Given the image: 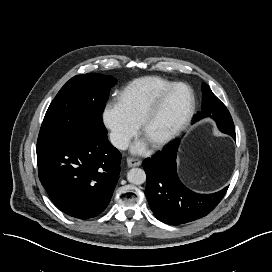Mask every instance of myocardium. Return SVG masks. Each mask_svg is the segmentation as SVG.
Listing matches in <instances>:
<instances>
[{
  "label": "myocardium",
  "mask_w": 272,
  "mask_h": 272,
  "mask_svg": "<svg viewBox=\"0 0 272 272\" xmlns=\"http://www.w3.org/2000/svg\"><path fill=\"white\" fill-rule=\"evenodd\" d=\"M184 89L187 91L188 94V105L186 108V111L182 117V119L179 121V123L169 132L166 134L149 140L150 144L153 147H161L170 141H172L175 137H177L184 128L188 125L190 122L194 109H195V97L193 94L192 89L184 84V83H174L172 84L164 93H162L155 102L149 107L147 112L145 113L142 122L140 124V132L145 136L151 122L154 120V118L157 116L159 111L162 109V107L165 105V103L168 101V99L173 95V93L178 89Z\"/></svg>",
  "instance_id": "f54148a6"
}]
</instances>
